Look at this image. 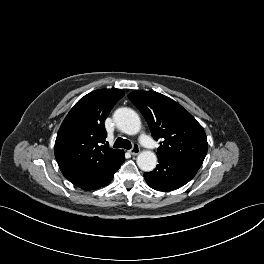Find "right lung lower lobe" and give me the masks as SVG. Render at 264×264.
Here are the masks:
<instances>
[{
    "instance_id": "right-lung-lower-lobe-1",
    "label": "right lung lower lobe",
    "mask_w": 264,
    "mask_h": 264,
    "mask_svg": "<svg viewBox=\"0 0 264 264\" xmlns=\"http://www.w3.org/2000/svg\"><path fill=\"white\" fill-rule=\"evenodd\" d=\"M125 161L124 151H121L116 157L104 164L98 170L72 182L77 187L85 190H94L108 185L114 173L120 168Z\"/></svg>"
}]
</instances>
